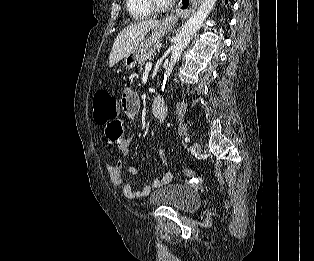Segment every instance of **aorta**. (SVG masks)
<instances>
[{"instance_id": "1", "label": "aorta", "mask_w": 314, "mask_h": 261, "mask_svg": "<svg viewBox=\"0 0 314 261\" xmlns=\"http://www.w3.org/2000/svg\"><path fill=\"white\" fill-rule=\"evenodd\" d=\"M215 3L216 0H202L198 10L182 26L176 37V41L172 46L171 58L163 76L162 90L165 88V84L170 77L174 64L179 61L183 50L187 47L193 36L200 29L203 22L214 8Z\"/></svg>"}]
</instances>
